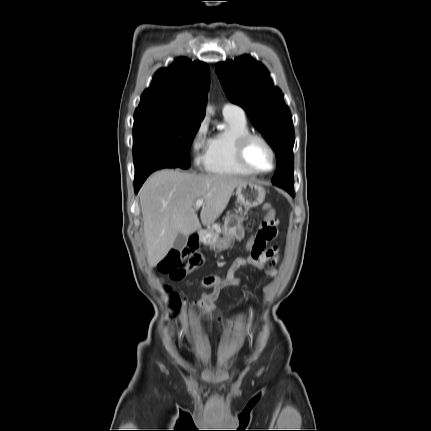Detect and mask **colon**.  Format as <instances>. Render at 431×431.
<instances>
[{
	"label": "colon",
	"instance_id": "obj_1",
	"mask_svg": "<svg viewBox=\"0 0 431 431\" xmlns=\"http://www.w3.org/2000/svg\"><path fill=\"white\" fill-rule=\"evenodd\" d=\"M263 210L266 213L265 219L262 221V229L259 234H267L269 232V224L275 220V209L272 204L266 203L263 205ZM256 237L250 234L246 237L245 253H250L255 246L254 241ZM196 246L190 243L187 247L181 250H171L166 257L159 263V269L168 273L173 279H182L185 275L194 268L200 261V255L196 254ZM172 299L174 303L179 302L180 297L178 294H173Z\"/></svg>",
	"mask_w": 431,
	"mask_h": 431
}]
</instances>
